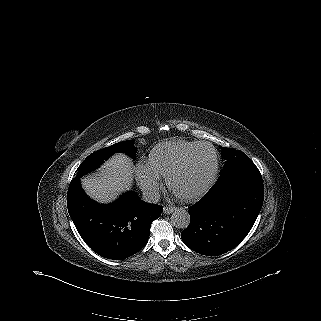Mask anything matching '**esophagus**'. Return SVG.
<instances>
[{"label":"esophagus","instance_id":"obj_1","mask_svg":"<svg viewBox=\"0 0 321 321\" xmlns=\"http://www.w3.org/2000/svg\"><path fill=\"white\" fill-rule=\"evenodd\" d=\"M176 210L175 207L172 206H165L163 211L165 214H171L172 212H174Z\"/></svg>","mask_w":321,"mask_h":321}]
</instances>
